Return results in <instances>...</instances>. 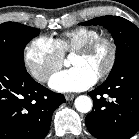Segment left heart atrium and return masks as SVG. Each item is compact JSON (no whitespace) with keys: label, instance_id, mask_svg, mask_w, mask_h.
I'll use <instances>...</instances> for the list:
<instances>
[{"label":"left heart atrium","instance_id":"39dd6f15","mask_svg":"<svg viewBox=\"0 0 139 139\" xmlns=\"http://www.w3.org/2000/svg\"><path fill=\"white\" fill-rule=\"evenodd\" d=\"M96 81L97 75L92 71L81 66H74L54 74L49 85L59 92H73L85 90L94 85Z\"/></svg>","mask_w":139,"mask_h":139}]
</instances>
